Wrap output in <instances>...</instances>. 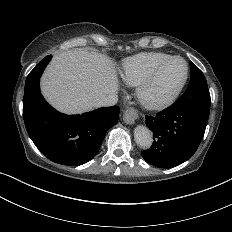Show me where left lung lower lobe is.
Wrapping results in <instances>:
<instances>
[{"mask_svg":"<svg viewBox=\"0 0 232 232\" xmlns=\"http://www.w3.org/2000/svg\"><path fill=\"white\" fill-rule=\"evenodd\" d=\"M209 115L195 109L171 105L156 116H146L153 144L141 154L159 168H173L188 160L199 147Z\"/></svg>","mask_w":232,"mask_h":232,"instance_id":"1","label":"left lung lower lobe"}]
</instances>
